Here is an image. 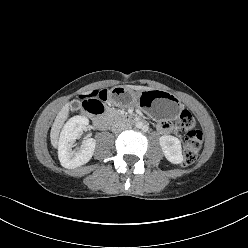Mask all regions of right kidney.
I'll list each match as a JSON object with an SVG mask.
<instances>
[{
  "mask_svg": "<svg viewBox=\"0 0 248 248\" xmlns=\"http://www.w3.org/2000/svg\"><path fill=\"white\" fill-rule=\"evenodd\" d=\"M85 116H74L64 125L58 143V156L64 168L80 167L92 158L96 146L93 138H85L80 149H72L76 139L80 138L82 130L88 125Z\"/></svg>",
  "mask_w": 248,
  "mask_h": 248,
  "instance_id": "ca27d5eb",
  "label": "right kidney"
}]
</instances>
